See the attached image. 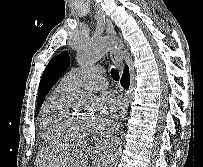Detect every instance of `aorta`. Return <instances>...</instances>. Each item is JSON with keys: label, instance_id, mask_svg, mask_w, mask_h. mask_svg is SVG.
Wrapping results in <instances>:
<instances>
[{"label": "aorta", "instance_id": "obj_1", "mask_svg": "<svg viewBox=\"0 0 203 167\" xmlns=\"http://www.w3.org/2000/svg\"><path fill=\"white\" fill-rule=\"evenodd\" d=\"M120 47L117 39L98 38L83 44L77 52L80 66H89L103 58L110 50ZM122 153L120 138H111L105 145L99 167H116Z\"/></svg>", "mask_w": 203, "mask_h": 167}]
</instances>
